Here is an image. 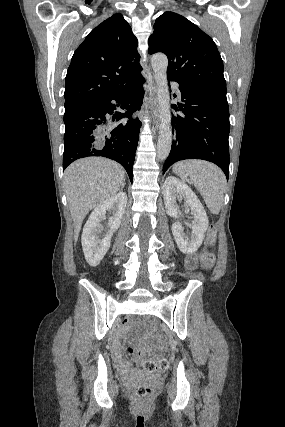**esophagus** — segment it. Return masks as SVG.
<instances>
[{"mask_svg": "<svg viewBox=\"0 0 285 427\" xmlns=\"http://www.w3.org/2000/svg\"><path fill=\"white\" fill-rule=\"evenodd\" d=\"M151 91H152V95L149 96L148 98V104H149V111L152 117V121H153V127L155 129L158 128V114H159V110H158V105H157V98H156V83L155 80L153 79L151 82Z\"/></svg>", "mask_w": 285, "mask_h": 427, "instance_id": "obj_1", "label": "esophagus"}]
</instances>
